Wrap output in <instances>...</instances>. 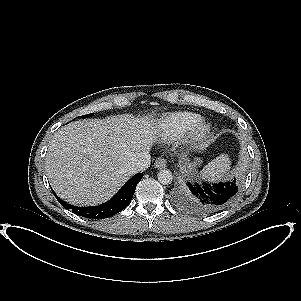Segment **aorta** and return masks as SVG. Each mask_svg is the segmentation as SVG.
<instances>
[{
    "mask_svg": "<svg viewBox=\"0 0 301 301\" xmlns=\"http://www.w3.org/2000/svg\"><path fill=\"white\" fill-rule=\"evenodd\" d=\"M157 177H158V181L163 185L171 184L173 180L172 172L166 169L161 170L158 173Z\"/></svg>",
    "mask_w": 301,
    "mask_h": 301,
    "instance_id": "aorta-1",
    "label": "aorta"
}]
</instances>
